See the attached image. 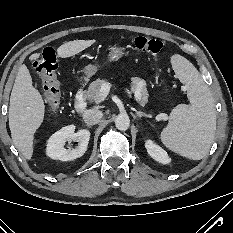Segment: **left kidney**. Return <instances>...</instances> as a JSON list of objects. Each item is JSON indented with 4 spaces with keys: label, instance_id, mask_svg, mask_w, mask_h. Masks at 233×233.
Returning <instances> with one entry per match:
<instances>
[{
    "label": "left kidney",
    "instance_id": "1",
    "mask_svg": "<svg viewBox=\"0 0 233 233\" xmlns=\"http://www.w3.org/2000/svg\"><path fill=\"white\" fill-rule=\"evenodd\" d=\"M145 147L148 154L157 162L162 164L170 163L171 159L169 158L167 152L159 145L155 144L152 140H146Z\"/></svg>",
    "mask_w": 233,
    "mask_h": 233
}]
</instances>
